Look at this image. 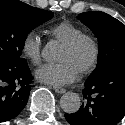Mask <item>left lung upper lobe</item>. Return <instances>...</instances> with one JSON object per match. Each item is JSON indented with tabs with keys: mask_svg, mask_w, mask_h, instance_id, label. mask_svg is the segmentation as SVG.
Returning a JSON list of instances; mask_svg holds the SVG:
<instances>
[{
	"mask_svg": "<svg viewBox=\"0 0 125 125\" xmlns=\"http://www.w3.org/2000/svg\"><path fill=\"white\" fill-rule=\"evenodd\" d=\"M99 41L98 62L88 80L112 69H125V25L112 16L99 12L78 15Z\"/></svg>",
	"mask_w": 125,
	"mask_h": 125,
	"instance_id": "obj_1",
	"label": "left lung upper lobe"
}]
</instances>
